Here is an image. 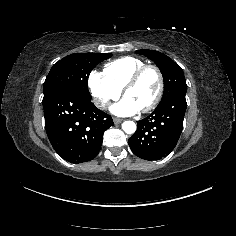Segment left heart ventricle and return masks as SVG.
<instances>
[{
  "mask_svg": "<svg viewBox=\"0 0 236 236\" xmlns=\"http://www.w3.org/2000/svg\"><path fill=\"white\" fill-rule=\"evenodd\" d=\"M157 88V76L154 71L148 70L133 87L126 91L125 98L132 101L141 110L154 99Z\"/></svg>",
  "mask_w": 236,
  "mask_h": 236,
  "instance_id": "b2bd125f",
  "label": "left heart ventricle"
}]
</instances>
